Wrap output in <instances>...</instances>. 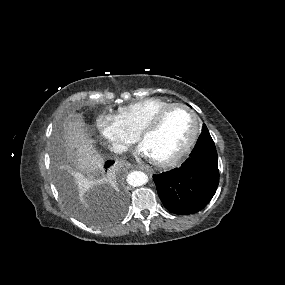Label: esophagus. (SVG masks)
<instances>
[{
  "instance_id": "obj_1",
  "label": "esophagus",
  "mask_w": 285,
  "mask_h": 285,
  "mask_svg": "<svg viewBox=\"0 0 285 285\" xmlns=\"http://www.w3.org/2000/svg\"><path fill=\"white\" fill-rule=\"evenodd\" d=\"M142 170L148 172V173H151L152 172V169L149 167V166H142L140 167Z\"/></svg>"
}]
</instances>
